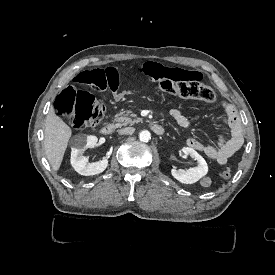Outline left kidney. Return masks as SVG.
<instances>
[{"label": "left kidney", "instance_id": "obj_1", "mask_svg": "<svg viewBox=\"0 0 275 275\" xmlns=\"http://www.w3.org/2000/svg\"><path fill=\"white\" fill-rule=\"evenodd\" d=\"M185 155H190L191 158L197 161L198 165L187 170L184 169H172V176L184 184H192L197 182L208 172V165L205 159L198 154L193 148L183 147L181 150Z\"/></svg>", "mask_w": 275, "mask_h": 275}]
</instances>
